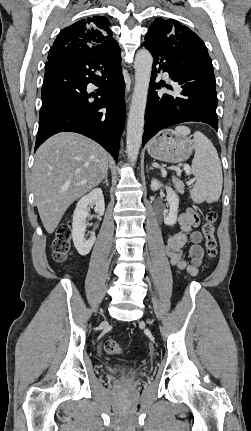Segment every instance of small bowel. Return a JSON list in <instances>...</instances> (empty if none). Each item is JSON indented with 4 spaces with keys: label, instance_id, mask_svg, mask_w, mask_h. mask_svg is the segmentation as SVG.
<instances>
[{
    "label": "small bowel",
    "instance_id": "small-bowel-1",
    "mask_svg": "<svg viewBox=\"0 0 251 431\" xmlns=\"http://www.w3.org/2000/svg\"><path fill=\"white\" fill-rule=\"evenodd\" d=\"M178 223L180 230L172 234L166 243V254L170 259L171 265L177 272H186L195 276L199 272L204 252L200 243L203 235L198 230H193L199 223L197 213L189 208L179 215ZM188 242L189 260L184 257V248Z\"/></svg>",
    "mask_w": 251,
    "mask_h": 431
}]
</instances>
